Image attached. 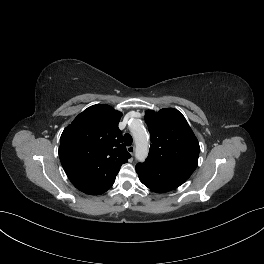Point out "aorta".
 <instances>
[{
  "instance_id": "762f6f07",
  "label": "aorta",
  "mask_w": 264,
  "mask_h": 264,
  "mask_svg": "<svg viewBox=\"0 0 264 264\" xmlns=\"http://www.w3.org/2000/svg\"><path fill=\"white\" fill-rule=\"evenodd\" d=\"M131 132L136 143L135 157L140 162H143L149 152L148 134L142 123L138 120L133 121L131 124Z\"/></svg>"
}]
</instances>
